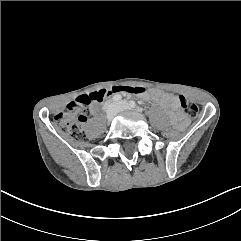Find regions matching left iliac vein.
Wrapping results in <instances>:
<instances>
[{
    "instance_id": "left-iliac-vein-1",
    "label": "left iliac vein",
    "mask_w": 241,
    "mask_h": 241,
    "mask_svg": "<svg viewBox=\"0 0 241 241\" xmlns=\"http://www.w3.org/2000/svg\"><path fill=\"white\" fill-rule=\"evenodd\" d=\"M120 110H129L131 109V106L125 102V101H121L119 104Z\"/></svg>"
}]
</instances>
